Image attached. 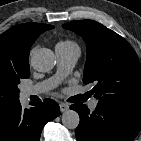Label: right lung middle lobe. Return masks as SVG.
Instances as JSON below:
<instances>
[{"instance_id": "right-lung-middle-lobe-1", "label": "right lung middle lobe", "mask_w": 141, "mask_h": 141, "mask_svg": "<svg viewBox=\"0 0 141 141\" xmlns=\"http://www.w3.org/2000/svg\"><path fill=\"white\" fill-rule=\"evenodd\" d=\"M29 69L13 70L0 68V107L8 106L19 101L18 84L21 79L28 78Z\"/></svg>"}]
</instances>
